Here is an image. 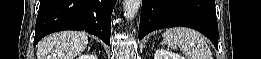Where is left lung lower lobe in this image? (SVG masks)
I'll return each mask as SVG.
<instances>
[{
    "instance_id": "1",
    "label": "left lung lower lobe",
    "mask_w": 261,
    "mask_h": 59,
    "mask_svg": "<svg viewBox=\"0 0 261 59\" xmlns=\"http://www.w3.org/2000/svg\"><path fill=\"white\" fill-rule=\"evenodd\" d=\"M184 26L203 33L218 49L215 0H143L139 39L162 28Z\"/></svg>"
}]
</instances>
